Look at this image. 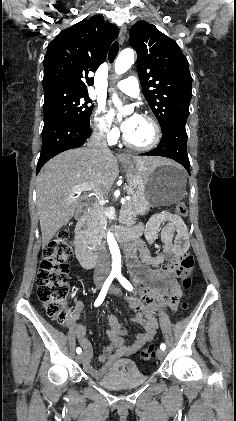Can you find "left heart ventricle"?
<instances>
[{"mask_svg":"<svg viewBox=\"0 0 236 421\" xmlns=\"http://www.w3.org/2000/svg\"><path fill=\"white\" fill-rule=\"evenodd\" d=\"M126 136L133 144L147 145L153 139V129L146 120L137 116L130 129L126 132Z\"/></svg>","mask_w":236,"mask_h":421,"instance_id":"1","label":"left heart ventricle"}]
</instances>
